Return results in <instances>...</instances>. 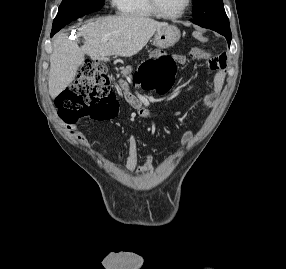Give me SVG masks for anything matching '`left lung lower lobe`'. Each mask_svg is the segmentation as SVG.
<instances>
[{
    "label": "left lung lower lobe",
    "mask_w": 286,
    "mask_h": 269,
    "mask_svg": "<svg viewBox=\"0 0 286 269\" xmlns=\"http://www.w3.org/2000/svg\"><path fill=\"white\" fill-rule=\"evenodd\" d=\"M220 34H222L223 36L226 37L227 39V42H228V45L230 46V42H231V31L230 30H221V29H217V30H214Z\"/></svg>",
    "instance_id": "left-lung-lower-lobe-1"
}]
</instances>
